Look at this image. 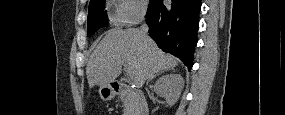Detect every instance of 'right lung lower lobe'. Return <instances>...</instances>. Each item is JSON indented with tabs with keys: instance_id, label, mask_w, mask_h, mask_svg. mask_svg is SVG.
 Returning <instances> with one entry per match:
<instances>
[{
	"instance_id": "right-lung-lower-lobe-1",
	"label": "right lung lower lobe",
	"mask_w": 285,
	"mask_h": 115,
	"mask_svg": "<svg viewBox=\"0 0 285 115\" xmlns=\"http://www.w3.org/2000/svg\"><path fill=\"white\" fill-rule=\"evenodd\" d=\"M150 0L146 15L149 35L167 53L177 56L190 70L199 28L200 0Z\"/></svg>"
}]
</instances>
